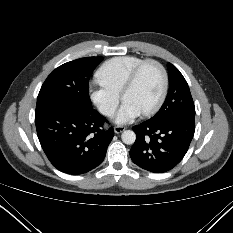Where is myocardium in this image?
Listing matches in <instances>:
<instances>
[{"label":"myocardium","mask_w":233,"mask_h":233,"mask_svg":"<svg viewBox=\"0 0 233 233\" xmlns=\"http://www.w3.org/2000/svg\"><path fill=\"white\" fill-rule=\"evenodd\" d=\"M149 64L155 65L160 70L161 75H162V90H161L160 96H159L157 102L155 103V105L153 107H151L150 109L141 113L143 116H151V115H154L155 113H157L160 110V108L162 107V105L164 104L165 99L167 97V93H168V89H169V76H168V72H167L166 68L163 66V64L157 60H154V59L143 60L141 63H139L132 70V72L130 73L128 79L126 80V82L121 90V98H122V100H124L125 94L130 89H132L134 87L142 70Z\"/></svg>","instance_id":"1"}]
</instances>
